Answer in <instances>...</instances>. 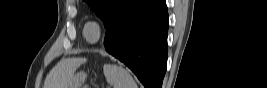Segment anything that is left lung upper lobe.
Instances as JSON below:
<instances>
[{
    "instance_id": "obj_1",
    "label": "left lung upper lobe",
    "mask_w": 267,
    "mask_h": 88,
    "mask_svg": "<svg viewBox=\"0 0 267 88\" xmlns=\"http://www.w3.org/2000/svg\"><path fill=\"white\" fill-rule=\"evenodd\" d=\"M98 15L108 31L119 16L136 0H84Z\"/></svg>"
}]
</instances>
